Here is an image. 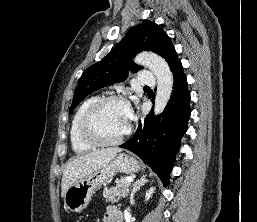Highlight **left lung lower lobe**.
I'll list each match as a JSON object with an SVG mask.
<instances>
[{"label": "left lung lower lobe", "mask_w": 257, "mask_h": 222, "mask_svg": "<svg viewBox=\"0 0 257 222\" xmlns=\"http://www.w3.org/2000/svg\"><path fill=\"white\" fill-rule=\"evenodd\" d=\"M173 72V91L164 111L159 116L148 115L139 124L134 136L119 147L140 157L158 174L164 185L168 184L181 138L187 131L190 118V93L187 79L179 59L170 65ZM153 113V112H151Z\"/></svg>", "instance_id": "obj_1"}]
</instances>
